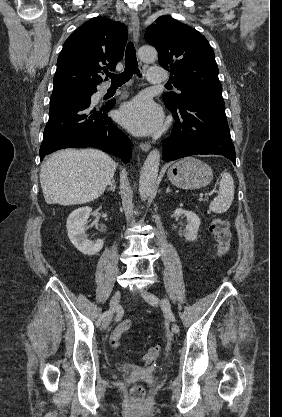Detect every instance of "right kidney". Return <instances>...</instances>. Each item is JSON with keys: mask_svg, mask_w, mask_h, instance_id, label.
<instances>
[{"mask_svg": "<svg viewBox=\"0 0 282 417\" xmlns=\"http://www.w3.org/2000/svg\"><path fill=\"white\" fill-rule=\"evenodd\" d=\"M91 211V206H81V209L72 211L66 221L68 237L72 245L83 255H97L104 245V241L101 239L89 241L85 235V223H87Z\"/></svg>", "mask_w": 282, "mask_h": 417, "instance_id": "ca27d5eb", "label": "right kidney"}]
</instances>
